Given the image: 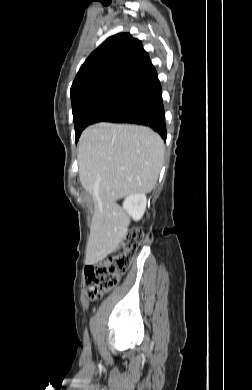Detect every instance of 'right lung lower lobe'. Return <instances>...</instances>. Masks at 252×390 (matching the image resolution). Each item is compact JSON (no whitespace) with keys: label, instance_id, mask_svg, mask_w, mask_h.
<instances>
[{"label":"right lung lower lobe","instance_id":"obj_1","mask_svg":"<svg viewBox=\"0 0 252 390\" xmlns=\"http://www.w3.org/2000/svg\"><path fill=\"white\" fill-rule=\"evenodd\" d=\"M105 121L145 125L158 132L165 140L167 133L161 85L135 100L124 110L110 116Z\"/></svg>","mask_w":252,"mask_h":390}]
</instances>
